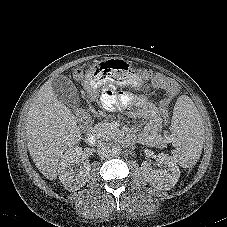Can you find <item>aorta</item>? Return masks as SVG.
<instances>
[{
	"mask_svg": "<svg viewBox=\"0 0 227 227\" xmlns=\"http://www.w3.org/2000/svg\"><path fill=\"white\" fill-rule=\"evenodd\" d=\"M121 151H122L121 147L119 145H115L111 149V154L113 156H117V155H119L121 153Z\"/></svg>",
	"mask_w": 227,
	"mask_h": 227,
	"instance_id": "762f6f07",
	"label": "aorta"
}]
</instances>
